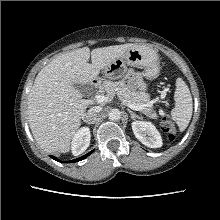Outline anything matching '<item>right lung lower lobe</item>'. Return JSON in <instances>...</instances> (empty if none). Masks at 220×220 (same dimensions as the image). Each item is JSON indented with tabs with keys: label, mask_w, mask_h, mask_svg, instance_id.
Wrapping results in <instances>:
<instances>
[{
	"label": "right lung lower lobe",
	"mask_w": 220,
	"mask_h": 220,
	"mask_svg": "<svg viewBox=\"0 0 220 220\" xmlns=\"http://www.w3.org/2000/svg\"><path fill=\"white\" fill-rule=\"evenodd\" d=\"M94 150H92L91 152L87 153L86 155L80 157V158H77V159H74V160H71L69 161L68 163H73V162H77V161H81L83 159H85L86 157H88ZM51 158H53L54 160L58 161V162H62L60 161L58 158L54 157V156H51Z\"/></svg>",
	"instance_id": "right-lung-lower-lobe-1"
}]
</instances>
